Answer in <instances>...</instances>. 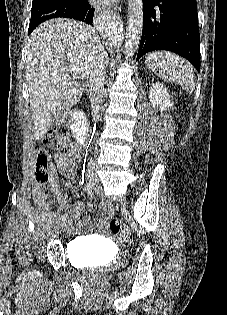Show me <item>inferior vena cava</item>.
I'll list each match as a JSON object with an SVG mask.
<instances>
[{
  "label": "inferior vena cava",
  "instance_id": "1",
  "mask_svg": "<svg viewBox=\"0 0 227 315\" xmlns=\"http://www.w3.org/2000/svg\"><path fill=\"white\" fill-rule=\"evenodd\" d=\"M99 48V54L93 62V67L89 80V99L94 113V118L99 117V111L102 104L104 91V84L106 79V60L107 56L105 51Z\"/></svg>",
  "mask_w": 227,
  "mask_h": 315
}]
</instances>
